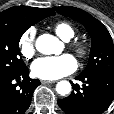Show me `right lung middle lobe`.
I'll return each instance as SVG.
<instances>
[{"label": "right lung middle lobe", "mask_w": 114, "mask_h": 114, "mask_svg": "<svg viewBox=\"0 0 114 114\" xmlns=\"http://www.w3.org/2000/svg\"><path fill=\"white\" fill-rule=\"evenodd\" d=\"M30 26L24 23H0V76L15 74L26 67L20 57L19 41Z\"/></svg>", "instance_id": "right-lung-middle-lobe-1"}]
</instances>
